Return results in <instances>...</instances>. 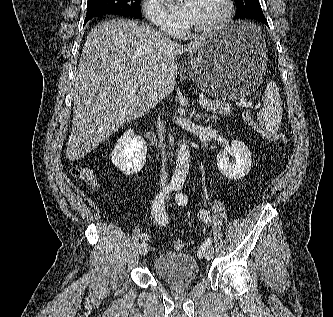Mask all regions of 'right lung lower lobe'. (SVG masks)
<instances>
[{
    "mask_svg": "<svg viewBox=\"0 0 333 317\" xmlns=\"http://www.w3.org/2000/svg\"><path fill=\"white\" fill-rule=\"evenodd\" d=\"M91 18H85V21H84V23H86L88 20H90Z\"/></svg>",
    "mask_w": 333,
    "mask_h": 317,
    "instance_id": "1",
    "label": "right lung lower lobe"
}]
</instances>
